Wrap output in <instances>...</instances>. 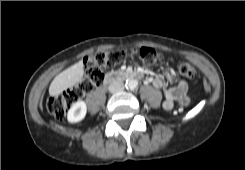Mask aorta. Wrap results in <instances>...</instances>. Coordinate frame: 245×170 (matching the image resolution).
<instances>
[{
  "label": "aorta",
  "mask_w": 245,
  "mask_h": 170,
  "mask_svg": "<svg viewBox=\"0 0 245 170\" xmlns=\"http://www.w3.org/2000/svg\"><path fill=\"white\" fill-rule=\"evenodd\" d=\"M138 86V81L136 79H128L126 81V87L130 90H134Z\"/></svg>",
  "instance_id": "aorta-1"
}]
</instances>
